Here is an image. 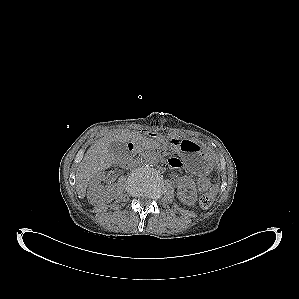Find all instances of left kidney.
<instances>
[{
	"label": "left kidney",
	"instance_id": "5707ae66",
	"mask_svg": "<svg viewBox=\"0 0 299 299\" xmlns=\"http://www.w3.org/2000/svg\"><path fill=\"white\" fill-rule=\"evenodd\" d=\"M178 184V199L185 205H193L197 200V189L195 182L191 178L184 176L180 178ZM186 191L189 192V195L185 194Z\"/></svg>",
	"mask_w": 299,
	"mask_h": 299
}]
</instances>
